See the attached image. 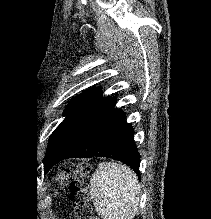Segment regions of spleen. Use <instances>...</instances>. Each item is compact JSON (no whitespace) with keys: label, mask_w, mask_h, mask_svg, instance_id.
Masks as SVG:
<instances>
[{"label":"spleen","mask_w":211,"mask_h":219,"mask_svg":"<svg viewBox=\"0 0 211 219\" xmlns=\"http://www.w3.org/2000/svg\"><path fill=\"white\" fill-rule=\"evenodd\" d=\"M91 199L103 219H133L140 200L138 178L125 165L102 162L91 178Z\"/></svg>","instance_id":"1"}]
</instances>
